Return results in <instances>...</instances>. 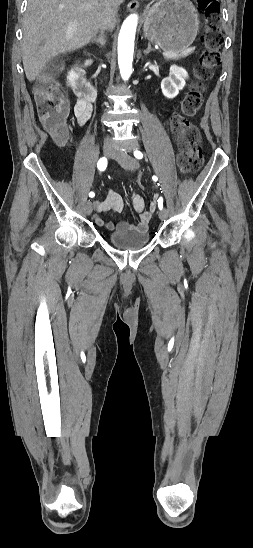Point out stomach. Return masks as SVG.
<instances>
[{"label": "stomach", "instance_id": "1", "mask_svg": "<svg viewBox=\"0 0 253 548\" xmlns=\"http://www.w3.org/2000/svg\"><path fill=\"white\" fill-rule=\"evenodd\" d=\"M198 26L197 10L190 0H160L147 11L143 30L166 52L181 53L194 42Z\"/></svg>", "mask_w": 253, "mask_h": 548}]
</instances>
